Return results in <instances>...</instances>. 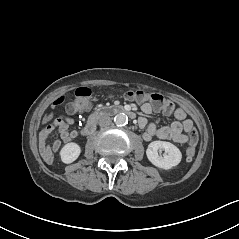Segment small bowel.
Listing matches in <instances>:
<instances>
[{"label":"small bowel","mask_w":239,"mask_h":239,"mask_svg":"<svg viewBox=\"0 0 239 239\" xmlns=\"http://www.w3.org/2000/svg\"><path fill=\"white\" fill-rule=\"evenodd\" d=\"M142 111L145 114L156 113L159 109L155 108L151 103H144ZM166 115L173 114L175 121L168 126L157 127L155 124L148 123L147 119L140 117L138 120L139 126L145 128L143 139L151 141L153 138L162 140H171L176 143H186L189 133L194 130L192 120L187 118L186 112L182 108H177L173 112H164ZM74 122L70 117L57 116L50 119L41 129L39 133V149L43 160L46 163H52L54 154L61 148V141L55 140L51 145L48 143V138L52 131L57 130L61 140L65 143L72 141L77 137L76 130H70L69 126Z\"/></svg>","instance_id":"1"}]
</instances>
